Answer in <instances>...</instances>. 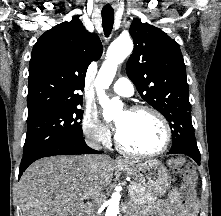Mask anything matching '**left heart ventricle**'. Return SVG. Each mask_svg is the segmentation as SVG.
Instances as JSON below:
<instances>
[{"label":"left heart ventricle","mask_w":221,"mask_h":216,"mask_svg":"<svg viewBox=\"0 0 221 216\" xmlns=\"http://www.w3.org/2000/svg\"><path fill=\"white\" fill-rule=\"evenodd\" d=\"M121 143L134 151L152 152L164 142V129L159 120L149 113H121L117 118Z\"/></svg>","instance_id":"b2bd125f"}]
</instances>
